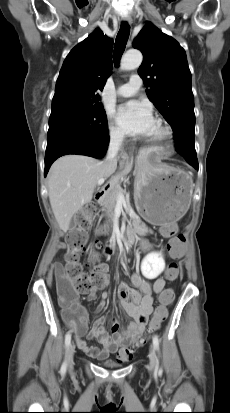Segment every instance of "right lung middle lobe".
<instances>
[{
  "label": "right lung middle lobe",
  "instance_id": "1",
  "mask_svg": "<svg viewBox=\"0 0 230 413\" xmlns=\"http://www.w3.org/2000/svg\"><path fill=\"white\" fill-rule=\"evenodd\" d=\"M108 135L103 107L64 108L51 112L47 148L64 141H93Z\"/></svg>",
  "mask_w": 230,
  "mask_h": 413
}]
</instances>
